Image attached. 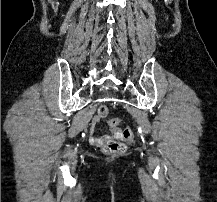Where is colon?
<instances>
[{
  "mask_svg": "<svg viewBox=\"0 0 217 202\" xmlns=\"http://www.w3.org/2000/svg\"><path fill=\"white\" fill-rule=\"evenodd\" d=\"M107 114H108L107 105L99 104L97 115L100 118H105ZM121 121H122L121 118H113V119L110 118V120L107 121L106 124L107 126H120L122 124ZM131 130H132L131 127H125L123 132V136H124L123 140H121V138H116V140H111L107 142L104 148L105 153L111 156L120 155L124 150V144L121 141H127V140L129 141L134 139Z\"/></svg>",
  "mask_w": 217,
  "mask_h": 202,
  "instance_id": "colon-1",
  "label": "colon"
}]
</instances>
